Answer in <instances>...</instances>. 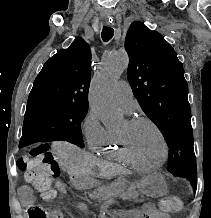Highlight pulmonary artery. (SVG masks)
Instances as JSON below:
<instances>
[{
  "mask_svg": "<svg viewBox=\"0 0 211 218\" xmlns=\"http://www.w3.org/2000/svg\"><path fill=\"white\" fill-rule=\"evenodd\" d=\"M114 96L117 104L126 113H131L134 110L133 92L128 84L118 82L114 89Z\"/></svg>",
  "mask_w": 211,
  "mask_h": 218,
  "instance_id": "e3ab8cb5",
  "label": "pulmonary artery"
}]
</instances>
